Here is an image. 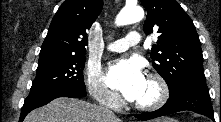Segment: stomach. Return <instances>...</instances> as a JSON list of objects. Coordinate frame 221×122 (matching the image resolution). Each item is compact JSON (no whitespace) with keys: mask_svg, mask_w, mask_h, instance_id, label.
<instances>
[{"mask_svg":"<svg viewBox=\"0 0 221 122\" xmlns=\"http://www.w3.org/2000/svg\"><path fill=\"white\" fill-rule=\"evenodd\" d=\"M154 122H177V121L171 118H160V119L155 120Z\"/></svg>","mask_w":221,"mask_h":122,"instance_id":"0dacf381","label":"stomach"}]
</instances>
